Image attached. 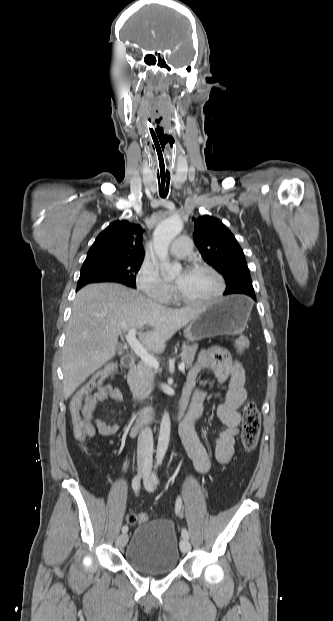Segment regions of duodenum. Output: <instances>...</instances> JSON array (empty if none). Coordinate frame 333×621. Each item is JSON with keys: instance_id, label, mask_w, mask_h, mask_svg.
Here are the masks:
<instances>
[{"instance_id": "1", "label": "duodenum", "mask_w": 333, "mask_h": 621, "mask_svg": "<svg viewBox=\"0 0 333 621\" xmlns=\"http://www.w3.org/2000/svg\"><path fill=\"white\" fill-rule=\"evenodd\" d=\"M135 358L132 355H125L122 358V365L127 370H133L135 368ZM191 386L189 384H185L182 397L180 400L179 406L173 411V418L180 419L182 418V425H186L192 423L196 420V417L189 414L188 412L184 415V404L187 401V398L190 394ZM160 417V413L158 410L154 408H150L145 410L142 414H140L138 420L131 425L130 427V435L135 436L143 427L155 423Z\"/></svg>"}]
</instances>
